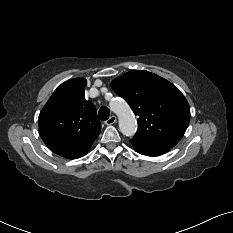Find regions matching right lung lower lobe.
<instances>
[{
    "instance_id": "obj_1",
    "label": "right lung lower lobe",
    "mask_w": 233,
    "mask_h": 233,
    "mask_svg": "<svg viewBox=\"0 0 233 233\" xmlns=\"http://www.w3.org/2000/svg\"><path fill=\"white\" fill-rule=\"evenodd\" d=\"M90 147L91 145L78 149H59V150H54L53 152L65 158L76 159L84 156Z\"/></svg>"
}]
</instances>
